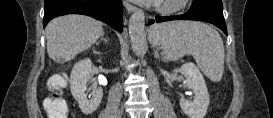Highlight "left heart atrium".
Returning a JSON list of instances; mask_svg holds the SVG:
<instances>
[{
  "instance_id": "39dd6f15",
  "label": "left heart atrium",
  "mask_w": 273,
  "mask_h": 118,
  "mask_svg": "<svg viewBox=\"0 0 273 118\" xmlns=\"http://www.w3.org/2000/svg\"><path fill=\"white\" fill-rule=\"evenodd\" d=\"M140 3H144V4H156L159 3L161 0H134Z\"/></svg>"
}]
</instances>
